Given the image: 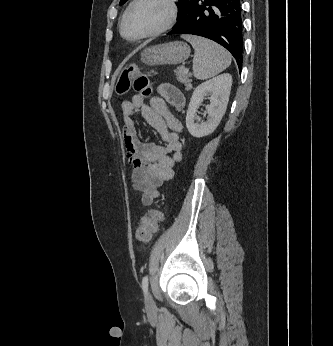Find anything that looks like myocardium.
<instances>
[{"label":"myocardium","instance_id":"myocardium-1","mask_svg":"<svg viewBox=\"0 0 333 346\" xmlns=\"http://www.w3.org/2000/svg\"><path fill=\"white\" fill-rule=\"evenodd\" d=\"M140 1L141 0H132V2L126 8V10L122 16V19L120 21V33L125 39L139 40V39L156 37V36L161 35L162 33L166 32V31H168L169 29H171L173 27V25L175 24V22L177 20V16H178L177 0H163V2L168 6V9H169L168 19L165 22V24L163 26H161L160 28H158L157 30L149 32V33H145V34L138 35L135 37L128 36L124 30V24H125L126 18L128 16V14L130 13V11L132 10V8Z\"/></svg>","mask_w":333,"mask_h":346}]
</instances>
